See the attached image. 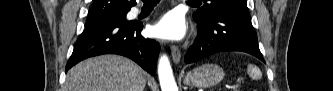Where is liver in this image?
Masks as SVG:
<instances>
[{
  "instance_id": "liver-1",
  "label": "liver",
  "mask_w": 333,
  "mask_h": 91,
  "mask_svg": "<svg viewBox=\"0 0 333 91\" xmlns=\"http://www.w3.org/2000/svg\"><path fill=\"white\" fill-rule=\"evenodd\" d=\"M146 72L132 60L103 55L68 71L64 91H143Z\"/></svg>"
}]
</instances>
